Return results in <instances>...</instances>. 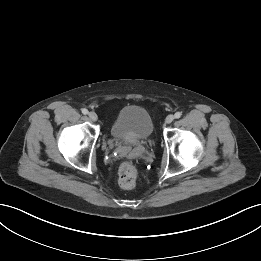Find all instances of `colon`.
Instances as JSON below:
<instances>
[{"mask_svg":"<svg viewBox=\"0 0 261 261\" xmlns=\"http://www.w3.org/2000/svg\"><path fill=\"white\" fill-rule=\"evenodd\" d=\"M138 171L132 162H124L120 165L118 171V182L126 189L133 188L136 184Z\"/></svg>","mask_w":261,"mask_h":261,"instance_id":"1","label":"colon"}]
</instances>
